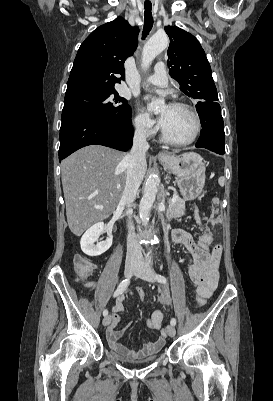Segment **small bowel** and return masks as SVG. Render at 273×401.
<instances>
[{
    "label": "small bowel",
    "instance_id": "1",
    "mask_svg": "<svg viewBox=\"0 0 273 401\" xmlns=\"http://www.w3.org/2000/svg\"><path fill=\"white\" fill-rule=\"evenodd\" d=\"M201 223L206 221L204 216L199 218ZM211 224H218L220 218L218 215H211L209 218ZM174 237L184 245L188 251L193 255V262L189 266L188 271H204L208 276L207 284H194L196 289V301L198 306L205 304L206 300L216 290L219 280L218 266L222 254L220 245L211 244L215 241V234L210 229L199 237L197 241L194 240L191 234L187 233L184 228H174L172 231ZM87 288H92L93 285L86 284ZM136 294L137 291H135ZM92 298L97 299L98 304H109V295H103L102 290H93ZM124 310L122 302L116 303L111 310V320L107 328V338L110 347L124 356L136 355L139 357L150 356L156 354L163 346L164 340L167 338L165 333L159 335V339L145 344L144 348L138 352H129L128 349L121 343V338L125 335L129 327L119 328L122 321L121 313ZM164 320V312L160 309L155 310L152 316L147 320V326L154 331H160Z\"/></svg>",
    "mask_w": 273,
    "mask_h": 401
}]
</instances>
